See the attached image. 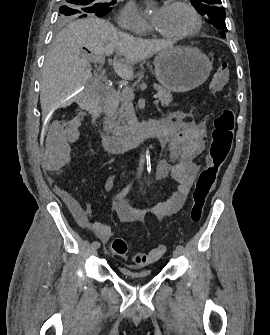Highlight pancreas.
I'll return each mask as SVG.
<instances>
[{"label": "pancreas", "instance_id": "cf45deb5", "mask_svg": "<svg viewBox=\"0 0 270 335\" xmlns=\"http://www.w3.org/2000/svg\"><path fill=\"white\" fill-rule=\"evenodd\" d=\"M155 90H157L159 102H161V106L163 108H167L170 102H172V94L166 88H162V86H158V84H154ZM136 118L133 116L132 110H119L117 122L114 124V134L115 136H124V134H128L130 130V124H136Z\"/></svg>", "mask_w": 270, "mask_h": 335}]
</instances>
